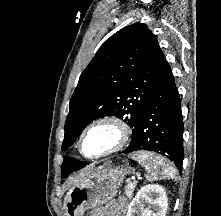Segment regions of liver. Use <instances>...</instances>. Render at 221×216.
<instances>
[{"instance_id":"6515ba94","label":"liver","mask_w":221,"mask_h":216,"mask_svg":"<svg viewBox=\"0 0 221 216\" xmlns=\"http://www.w3.org/2000/svg\"><path fill=\"white\" fill-rule=\"evenodd\" d=\"M94 169L93 167H89V168H86L82 171L79 172L78 175L72 177L69 181H68V186L69 185H74L76 183H79L82 179H84L89 173L90 171Z\"/></svg>"}]
</instances>
